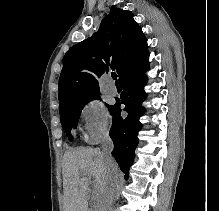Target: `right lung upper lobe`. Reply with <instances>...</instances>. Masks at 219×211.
Returning <instances> with one entry per match:
<instances>
[{
	"label": "right lung upper lobe",
	"instance_id": "1",
	"mask_svg": "<svg viewBox=\"0 0 219 211\" xmlns=\"http://www.w3.org/2000/svg\"><path fill=\"white\" fill-rule=\"evenodd\" d=\"M148 57L146 38L132 15L111 9L97 33L65 54L59 79L60 105L100 95L99 81L109 69H116L121 80Z\"/></svg>",
	"mask_w": 219,
	"mask_h": 211
}]
</instances>
